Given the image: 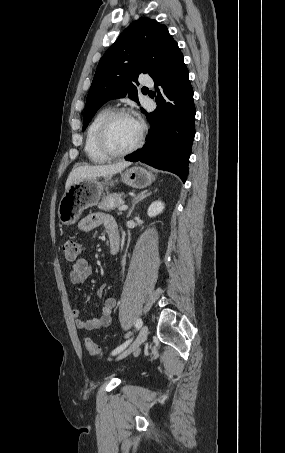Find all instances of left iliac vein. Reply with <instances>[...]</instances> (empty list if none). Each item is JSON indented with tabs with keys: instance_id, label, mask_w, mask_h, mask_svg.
<instances>
[{
	"instance_id": "1",
	"label": "left iliac vein",
	"mask_w": 285,
	"mask_h": 453,
	"mask_svg": "<svg viewBox=\"0 0 285 453\" xmlns=\"http://www.w3.org/2000/svg\"><path fill=\"white\" fill-rule=\"evenodd\" d=\"M147 335H148V327L143 326L140 329V332H139L137 338L134 340V342L130 345L129 348H127L125 351H123L122 353H120L118 355L117 360L122 359V358L128 356L133 351H135L146 340Z\"/></svg>"
}]
</instances>
